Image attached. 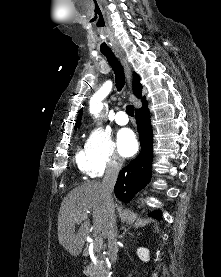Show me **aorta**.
Returning a JSON list of instances; mask_svg holds the SVG:
<instances>
[{"instance_id": "762f6f07", "label": "aorta", "mask_w": 221, "mask_h": 277, "mask_svg": "<svg viewBox=\"0 0 221 277\" xmlns=\"http://www.w3.org/2000/svg\"><path fill=\"white\" fill-rule=\"evenodd\" d=\"M102 109V104L92 105L90 108L91 113L98 115Z\"/></svg>"}]
</instances>
